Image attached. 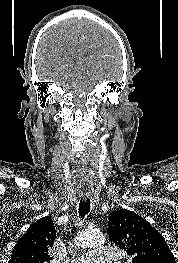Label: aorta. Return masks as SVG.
I'll list each match as a JSON object with an SVG mask.
<instances>
[{
	"mask_svg": "<svg viewBox=\"0 0 178 263\" xmlns=\"http://www.w3.org/2000/svg\"><path fill=\"white\" fill-rule=\"evenodd\" d=\"M105 236L100 231H83L75 239V245L79 248L102 245Z\"/></svg>",
	"mask_w": 178,
	"mask_h": 263,
	"instance_id": "1",
	"label": "aorta"
}]
</instances>
